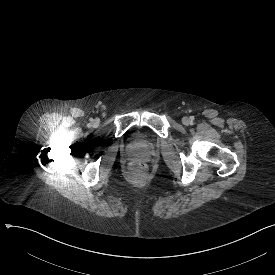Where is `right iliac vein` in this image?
<instances>
[{"label":"right iliac vein","instance_id":"1","mask_svg":"<svg viewBox=\"0 0 275 275\" xmlns=\"http://www.w3.org/2000/svg\"><path fill=\"white\" fill-rule=\"evenodd\" d=\"M99 122L98 121H95V124L97 125Z\"/></svg>","mask_w":275,"mask_h":275}]
</instances>
